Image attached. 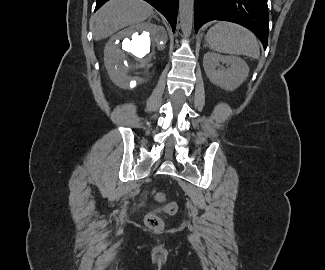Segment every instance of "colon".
I'll return each mask as SVG.
<instances>
[{
    "mask_svg": "<svg viewBox=\"0 0 325 270\" xmlns=\"http://www.w3.org/2000/svg\"><path fill=\"white\" fill-rule=\"evenodd\" d=\"M156 199L163 203L162 210L174 215L178 211V204L175 201H167L162 193H156ZM145 224L151 229H160L163 227V220L157 210L150 211L145 216Z\"/></svg>",
    "mask_w": 325,
    "mask_h": 270,
    "instance_id": "1",
    "label": "colon"
}]
</instances>
